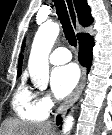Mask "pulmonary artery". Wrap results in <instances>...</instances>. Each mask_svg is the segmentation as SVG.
I'll use <instances>...</instances> for the list:
<instances>
[{"mask_svg":"<svg viewBox=\"0 0 112 135\" xmlns=\"http://www.w3.org/2000/svg\"><path fill=\"white\" fill-rule=\"evenodd\" d=\"M72 58L68 49L59 47L56 48L49 56V61L53 65H60L70 61Z\"/></svg>","mask_w":112,"mask_h":135,"instance_id":"e3ab8cb5","label":"pulmonary artery"}]
</instances>
